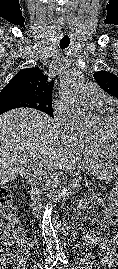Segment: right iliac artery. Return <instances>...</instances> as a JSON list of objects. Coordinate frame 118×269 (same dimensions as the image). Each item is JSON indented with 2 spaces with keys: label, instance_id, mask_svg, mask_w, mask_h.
Here are the masks:
<instances>
[{
  "label": "right iliac artery",
  "instance_id": "82829eb1",
  "mask_svg": "<svg viewBox=\"0 0 118 269\" xmlns=\"http://www.w3.org/2000/svg\"><path fill=\"white\" fill-rule=\"evenodd\" d=\"M59 259V255L51 256L45 260L44 265L40 269H52ZM43 263V262H42Z\"/></svg>",
  "mask_w": 118,
  "mask_h": 269
}]
</instances>
